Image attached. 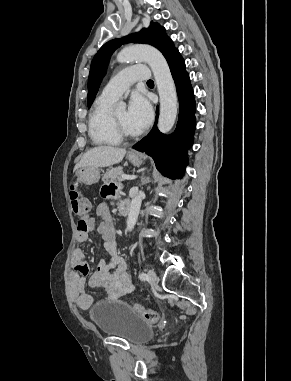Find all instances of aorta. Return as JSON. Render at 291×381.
<instances>
[{
  "instance_id": "aorta-1",
  "label": "aorta",
  "mask_w": 291,
  "mask_h": 381,
  "mask_svg": "<svg viewBox=\"0 0 291 381\" xmlns=\"http://www.w3.org/2000/svg\"><path fill=\"white\" fill-rule=\"evenodd\" d=\"M117 61L120 63L144 61L150 66L160 97L158 129L162 133L169 132L177 117L178 102L175 84L164 56L152 46L133 45L123 48L117 55ZM143 197L144 192L140 191L131 201L127 231H132L136 224Z\"/></svg>"
}]
</instances>
